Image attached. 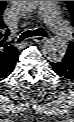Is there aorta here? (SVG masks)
<instances>
[{
  "label": "aorta",
  "instance_id": "762f6f07",
  "mask_svg": "<svg viewBox=\"0 0 74 122\" xmlns=\"http://www.w3.org/2000/svg\"><path fill=\"white\" fill-rule=\"evenodd\" d=\"M19 12L23 14H31L35 12L41 1H12ZM67 51V43L60 37L50 38L43 47V53L49 61L59 62L61 61Z\"/></svg>",
  "mask_w": 74,
  "mask_h": 122
}]
</instances>
